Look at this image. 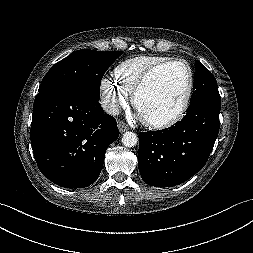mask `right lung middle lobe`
<instances>
[{
	"label": "right lung middle lobe",
	"instance_id": "right-lung-middle-lobe-1",
	"mask_svg": "<svg viewBox=\"0 0 253 253\" xmlns=\"http://www.w3.org/2000/svg\"><path fill=\"white\" fill-rule=\"evenodd\" d=\"M121 54L120 51L102 52L90 49L75 51L50 68L38 92L50 88L71 89L98 100L101 79Z\"/></svg>",
	"mask_w": 253,
	"mask_h": 253
}]
</instances>
